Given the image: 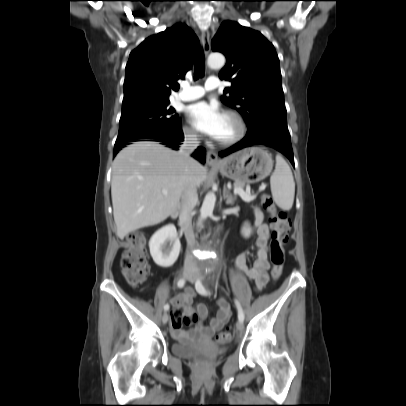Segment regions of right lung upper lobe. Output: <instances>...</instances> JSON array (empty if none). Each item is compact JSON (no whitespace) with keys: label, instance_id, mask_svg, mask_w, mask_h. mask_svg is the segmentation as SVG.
Returning <instances> with one entry per match:
<instances>
[{"label":"right lung upper lobe","instance_id":"cb5924a9","mask_svg":"<svg viewBox=\"0 0 406 406\" xmlns=\"http://www.w3.org/2000/svg\"><path fill=\"white\" fill-rule=\"evenodd\" d=\"M199 40L184 24L148 37L129 57L125 68L123 106L142 101H169L177 80L191 69Z\"/></svg>","mask_w":406,"mask_h":406}]
</instances>
